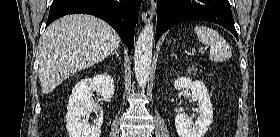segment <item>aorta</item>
I'll use <instances>...</instances> for the list:
<instances>
[{
  "mask_svg": "<svg viewBox=\"0 0 280 137\" xmlns=\"http://www.w3.org/2000/svg\"><path fill=\"white\" fill-rule=\"evenodd\" d=\"M153 41V25L148 23L139 34L134 51L135 75L139 86L142 88L146 86L150 76Z\"/></svg>",
  "mask_w": 280,
  "mask_h": 137,
  "instance_id": "1",
  "label": "aorta"
}]
</instances>
